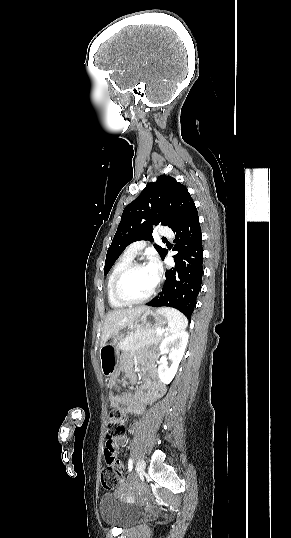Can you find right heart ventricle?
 <instances>
[{
  "label": "right heart ventricle",
  "instance_id": "right-heart-ventricle-1",
  "mask_svg": "<svg viewBox=\"0 0 291 538\" xmlns=\"http://www.w3.org/2000/svg\"><path fill=\"white\" fill-rule=\"evenodd\" d=\"M134 257L129 256L127 253H123L113 264L106 284V293L107 298L109 301V304L114 308H121L125 306V304L120 303L116 300L113 294V284L116 276L126 267L128 266L132 261Z\"/></svg>",
  "mask_w": 291,
  "mask_h": 538
}]
</instances>
